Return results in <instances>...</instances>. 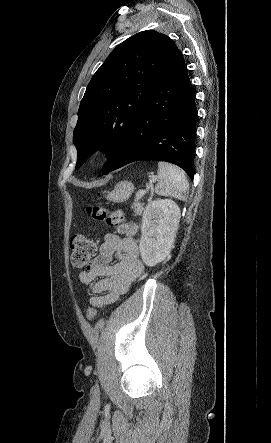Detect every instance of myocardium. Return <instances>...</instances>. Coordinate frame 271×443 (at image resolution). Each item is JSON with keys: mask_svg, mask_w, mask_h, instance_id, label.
Masks as SVG:
<instances>
[{"mask_svg": "<svg viewBox=\"0 0 271 443\" xmlns=\"http://www.w3.org/2000/svg\"><path fill=\"white\" fill-rule=\"evenodd\" d=\"M109 156L107 147L99 145L93 147L87 154L86 162L91 167H98L102 165Z\"/></svg>", "mask_w": 271, "mask_h": 443, "instance_id": "f54148a6", "label": "myocardium"}]
</instances>
